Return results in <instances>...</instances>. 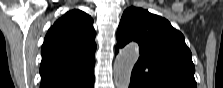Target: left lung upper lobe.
I'll return each mask as SVG.
<instances>
[{
	"instance_id": "1",
	"label": "left lung upper lobe",
	"mask_w": 223,
	"mask_h": 88,
	"mask_svg": "<svg viewBox=\"0 0 223 88\" xmlns=\"http://www.w3.org/2000/svg\"><path fill=\"white\" fill-rule=\"evenodd\" d=\"M132 40L139 44L140 57L131 78L142 88H196L191 51L168 20L142 8L126 9L117 30L116 53Z\"/></svg>"
}]
</instances>
